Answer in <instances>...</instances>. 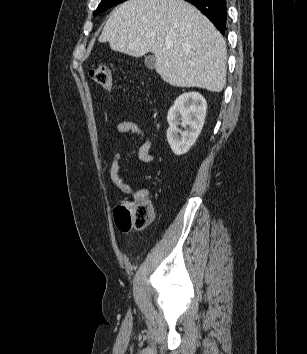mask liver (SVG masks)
Listing matches in <instances>:
<instances>
[{"mask_svg": "<svg viewBox=\"0 0 307 354\" xmlns=\"http://www.w3.org/2000/svg\"><path fill=\"white\" fill-rule=\"evenodd\" d=\"M98 40L133 57L153 53L157 73L172 86L220 92L226 83L222 35L184 0H128L113 11Z\"/></svg>", "mask_w": 307, "mask_h": 354, "instance_id": "obj_1", "label": "liver"}]
</instances>
